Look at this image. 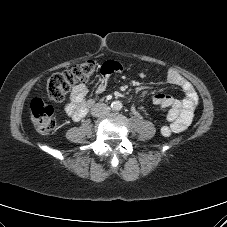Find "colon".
<instances>
[{
    "label": "colon",
    "mask_w": 227,
    "mask_h": 227,
    "mask_svg": "<svg viewBox=\"0 0 227 227\" xmlns=\"http://www.w3.org/2000/svg\"><path fill=\"white\" fill-rule=\"evenodd\" d=\"M93 60H87L75 65L69 70L52 75L47 81V96L54 102L63 101L67 92L78 83L88 82L97 70ZM31 121L40 133L52 132L56 127L54 109L40 98L31 102Z\"/></svg>",
    "instance_id": "1"
}]
</instances>
